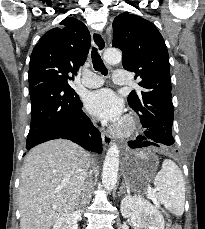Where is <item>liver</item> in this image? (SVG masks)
<instances>
[{"instance_id": "1", "label": "liver", "mask_w": 205, "mask_h": 229, "mask_svg": "<svg viewBox=\"0 0 205 229\" xmlns=\"http://www.w3.org/2000/svg\"><path fill=\"white\" fill-rule=\"evenodd\" d=\"M91 164L94 159L68 140L32 148L20 176V229H50L57 219L74 211Z\"/></svg>"}]
</instances>
